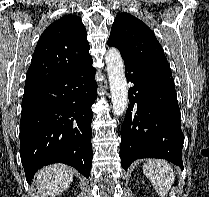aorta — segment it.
Segmentation results:
<instances>
[{
	"label": "aorta",
	"instance_id": "obj_1",
	"mask_svg": "<svg viewBox=\"0 0 209 197\" xmlns=\"http://www.w3.org/2000/svg\"><path fill=\"white\" fill-rule=\"evenodd\" d=\"M105 61L112 95V107L115 116H121L128 106L127 80L124 63L117 48H109Z\"/></svg>",
	"mask_w": 209,
	"mask_h": 197
}]
</instances>
